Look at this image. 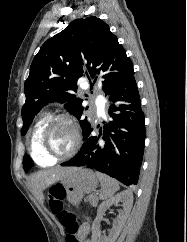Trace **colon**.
I'll list each match as a JSON object with an SVG mask.
<instances>
[{"label": "colon", "instance_id": "1", "mask_svg": "<svg viewBox=\"0 0 187 242\" xmlns=\"http://www.w3.org/2000/svg\"><path fill=\"white\" fill-rule=\"evenodd\" d=\"M64 198L65 190L61 185H54L48 189V207L65 227L67 231L66 242H81L78 237L79 222L76 216L66 209Z\"/></svg>", "mask_w": 187, "mask_h": 242}]
</instances>
